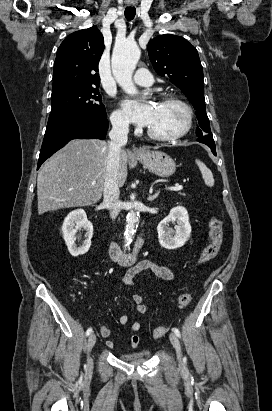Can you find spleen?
<instances>
[{"instance_id":"spleen-1","label":"spleen","mask_w":272,"mask_h":411,"mask_svg":"<svg viewBox=\"0 0 272 411\" xmlns=\"http://www.w3.org/2000/svg\"><path fill=\"white\" fill-rule=\"evenodd\" d=\"M196 164L201 171L202 178L205 182V184L209 187H212L214 185V178L211 170L200 160L196 159Z\"/></svg>"}]
</instances>
